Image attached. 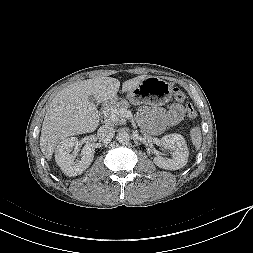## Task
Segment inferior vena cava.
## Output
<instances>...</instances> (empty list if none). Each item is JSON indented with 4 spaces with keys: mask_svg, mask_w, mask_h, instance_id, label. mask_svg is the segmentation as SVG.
Instances as JSON below:
<instances>
[{
    "mask_svg": "<svg viewBox=\"0 0 253 253\" xmlns=\"http://www.w3.org/2000/svg\"><path fill=\"white\" fill-rule=\"evenodd\" d=\"M115 130L109 125H103L98 129L97 136L100 141L108 143L114 137Z\"/></svg>",
    "mask_w": 253,
    "mask_h": 253,
    "instance_id": "602c4592",
    "label": "inferior vena cava"
}]
</instances>
